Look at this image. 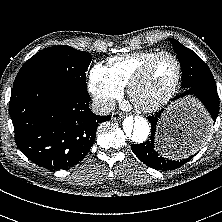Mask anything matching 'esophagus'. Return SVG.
Instances as JSON below:
<instances>
[{
	"label": "esophagus",
	"instance_id": "1",
	"mask_svg": "<svg viewBox=\"0 0 222 222\" xmlns=\"http://www.w3.org/2000/svg\"><path fill=\"white\" fill-rule=\"evenodd\" d=\"M123 117H124V115L121 112H113L112 113L113 120H121Z\"/></svg>",
	"mask_w": 222,
	"mask_h": 222
}]
</instances>
